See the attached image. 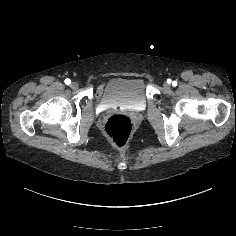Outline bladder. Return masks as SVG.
Masks as SVG:
<instances>
[{"label": "bladder", "mask_w": 236, "mask_h": 236, "mask_svg": "<svg viewBox=\"0 0 236 236\" xmlns=\"http://www.w3.org/2000/svg\"><path fill=\"white\" fill-rule=\"evenodd\" d=\"M145 84L140 77H115L107 81L101 98L109 106L136 108L145 103Z\"/></svg>", "instance_id": "1"}]
</instances>
